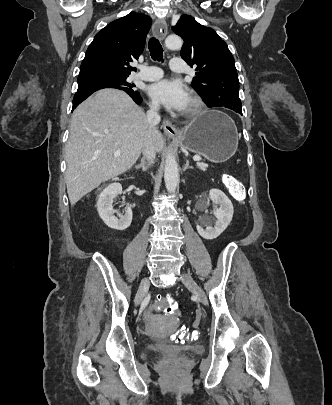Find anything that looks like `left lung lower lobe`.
I'll return each instance as SVG.
<instances>
[{"label":"left lung lower lobe","instance_id":"left-lung-lower-lobe-1","mask_svg":"<svg viewBox=\"0 0 332 405\" xmlns=\"http://www.w3.org/2000/svg\"><path fill=\"white\" fill-rule=\"evenodd\" d=\"M235 112H238V113L242 114V110H238V111H235Z\"/></svg>","mask_w":332,"mask_h":405}]
</instances>
